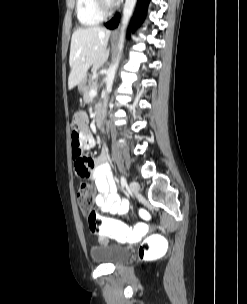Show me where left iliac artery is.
Listing matches in <instances>:
<instances>
[{"mask_svg":"<svg viewBox=\"0 0 247 304\" xmlns=\"http://www.w3.org/2000/svg\"><path fill=\"white\" fill-rule=\"evenodd\" d=\"M121 186L124 188L127 185L126 178L124 176H121L120 178Z\"/></svg>","mask_w":247,"mask_h":304,"instance_id":"obj_1","label":"left iliac artery"}]
</instances>
